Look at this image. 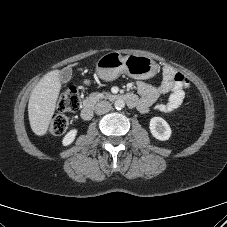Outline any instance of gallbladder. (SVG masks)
I'll use <instances>...</instances> for the list:
<instances>
[{
    "label": "gallbladder",
    "mask_w": 227,
    "mask_h": 227,
    "mask_svg": "<svg viewBox=\"0 0 227 227\" xmlns=\"http://www.w3.org/2000/svg\"><path fill=\"white\" fill-rule=\"evenodd\" d=\"M71 76H72V70L71 68H68V67L62 69L59 74V78L63 83L68 82L71 79Z\"/></svg>",
    "instance_id": "bac80fb5"
}]
</instances>
